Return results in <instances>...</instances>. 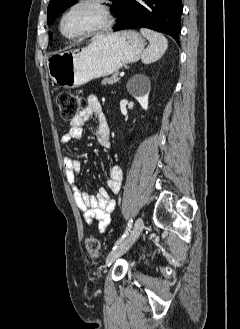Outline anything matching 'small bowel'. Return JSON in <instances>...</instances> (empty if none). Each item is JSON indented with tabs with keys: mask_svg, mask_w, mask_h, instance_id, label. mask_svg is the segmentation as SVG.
<instances>
[{
	"mask_svg": "<svg viewBox=\"0 0 240 329\" xmlns=\"http://www.w3.org/2000/svg\"><path fill=\"white\" fill-rule=\"evenodd\" d=\"M97 119L96 140L104 149L111 147L110 129L102 113V104L95 95H90L87 105L78 115L71 120L67 133L62 135L61 143L68 145L73 140L83 136L84 125L92 118ZM64 169L68 182L71 184L77 207L82 211L85 222L93 226L97 220L96 228L104 232L110 223V215L115 209V203L109 192L118 193L121 187L122 171L118 165H111L107 172L106 187L100 188L95 194L82 191L75 185L77 175L80 172V161L73 156L64 158Z\"/></svg>",
	"mask_w": 240,
	"mask_h": 329,
	"instance_id": "c3829d8e",
	"label": "small bowel"
}]
</instances>
